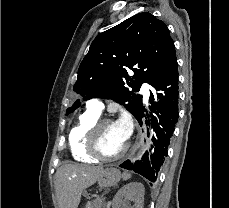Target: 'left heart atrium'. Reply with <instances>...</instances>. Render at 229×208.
Instances as JSON below:
<instances>
[{
    "label": "left heart atrium",
    "instance_id": "1",
    "mask_svg": "<svg viewBox=\"0 0 229 208\" xmlns=\"http://www.w3.org/2000/svg\"><path fill=\"white\" fill-rule=\"evenodd\" d=\"M115 125L121 136L125 139H128L132 130V125L129 116L123 113L120 116V118L116 121Z\"/></svg>",
    "mask_w": 229,
    "mask_h": 208
}]
</instances>
